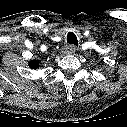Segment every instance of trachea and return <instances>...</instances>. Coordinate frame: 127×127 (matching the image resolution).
<instances>
[{
  "label": "trachea",
  "instance_id": "trachea-1",
  "mask_svg": "<svg viewBox=\"0 0 127 127\" xmlns=\"http://www.w3.org/2000/svg\"><path fill=\"white\" fill-rule=\"evenodd\" d=\"M67 43L69 44H73L75 46H78V40H77V36L75 33L70 32L67 35Z\"/></svg>",
  "mask_w": 127,
  "mask_h": 127
}]
</instances>
